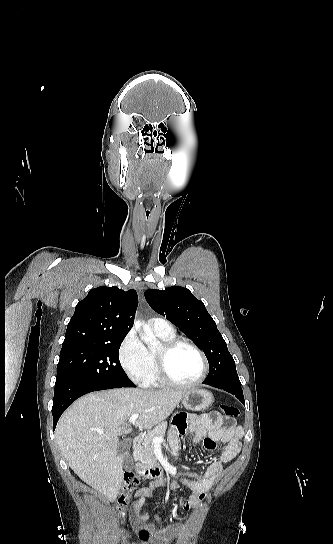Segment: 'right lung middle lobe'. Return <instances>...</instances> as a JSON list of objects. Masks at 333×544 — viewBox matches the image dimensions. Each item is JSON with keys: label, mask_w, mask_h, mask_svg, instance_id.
I'll return each mask as SVG.
<instances>
[{"label": "right lung middle lobe", "mask_w": 333, "mask_h": 544, "mask_svg": "<svg viewBox=\"0 0 333 544\" xmlns=\"http://www.w3.org/2000/svg\"><path fill=\"white\" fill-rule=\"evenodd\" d=\"M124 338L62 348L57 365V378H74L88 383L134 385L119 361L118 352Z\"/></svg>", "instance_id": "obj_1"}]
</instances>
